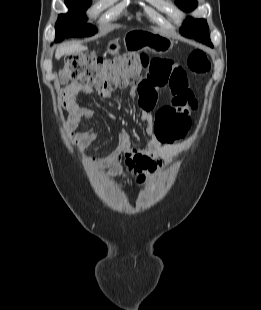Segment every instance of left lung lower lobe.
I'll list each match as a JSON object with an SVG mask.
<instances>
[{"instance_id": "obj_1", "label": "left lung lower lobe", "mask_w": 261, "mask_h": 310, "mask_svg": "<svg viewBox=\"0 0 261 310\" xmlns=\"http://www.w3.org/2000/svg\"><path fill=\"white\" fill-rule=\"evenodd\" d=\"M193 38L212 47L210 37H209L208 28L204 32L194 35Z\"/></svg>"}]
</instances>
